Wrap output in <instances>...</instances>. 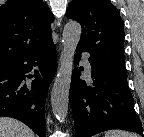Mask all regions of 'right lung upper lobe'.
I'll list each match as a JSON object with an SVG mask.
<instances>
[{
    "mask_svg": "<svg viewBox=\"0 0 144 137\" xmlns=\"http://www.w3.org/2000/svg\"><path fill=\"white\" fill-rule=\"evenodd\" d=\"M53 19L42 0H7L0 7V68L51 40Z\"/></svg>",
    "mask_w": 144,
    "mask_h": 137,
    "instance_id": "right-lung-upper-lobe-1",
    "label": "right lung upper lobe"
}]
</instances>
